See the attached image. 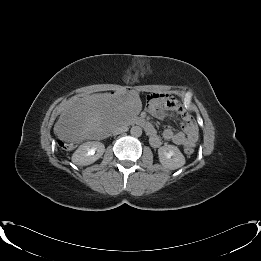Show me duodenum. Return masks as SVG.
I'll use <instances>...</instances> for the list:
<instances>
[{"label": "duodenum", "instance_id": "410a0bca", "mask_svg": "<svg viewBox=\"0 0 261 261\" xmlns=\"http://www.w3.org/2000/svg\"><path fill=\"white\" fill-rule=\"evenodd\" d=\"M135 122H136L138 125L144 127V128L146 129L147 133H148V131H149V129H150V125H149V122H147L146 119H144V118H137V119L135 120Z\"/></svg>", "mask_w": 261, "mask_h": 261}]
</instances>
